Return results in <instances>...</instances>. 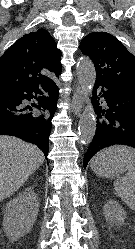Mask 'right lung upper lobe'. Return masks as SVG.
<instances>
[{
    "label": "right lung upper lobe",
    "instance_id": "1",
    "mask_svg": "<svg viewBox=\"0 0 135 249\" xmlns=\"http://www.w3.org/2000/svg\"><path fill=\"white\" fill-rule=\"evenodd\" d=\"M61 51L45 29L25 34L0 57V90L38 86L52 81L43 69L61 73Z\"/></svg>",
    "mask_w": 135,
    "mask_h": 249
}]
</instances>
